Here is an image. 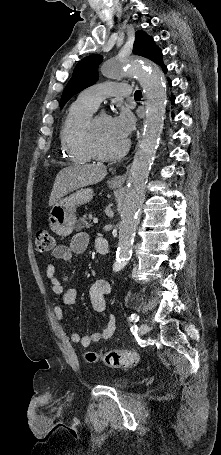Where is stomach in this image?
<instances>
[{"instance_id": "0dacf381", "label": "stomach", "mask_w": 221, "mask_h": 455, "mask_svg": "<svg viewBox=\"0 0 221 455\" xmlns=\"http://www.w3.org/2000/svg\"><path fill=\"white\" fill-rule=\"evenodd\" d=\"M109 184L111 187L117 186L113 182H109ZM92 198L93 190L91 188H82L58 200L49 213L51 230L58 236H69L75 229L77 207L89 202Z\"/></svg>"}]
</instances>
